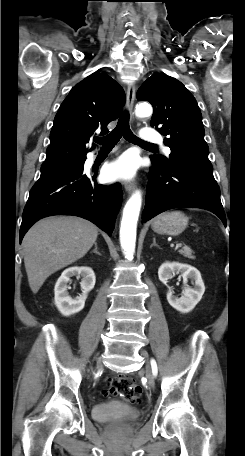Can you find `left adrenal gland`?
<instances>
[{
    "instance_id": "1",
    "label": "left adrenal gland",
    "mask_w": 245,
    "mask_h": 456,
    "mask_svg": "<svg viewBox=\"0 0 245 456\" xmlns=\"http://www.w3.org/2000/svg\"><path fill=\"white\" fill-rule=\"evenodd\" d=\"M153 246H156V247L160 248L159 245L156 243V238L155 237L153 238V243L151 244L150 247H153Z\"/></svg>"
}]
</instances>
